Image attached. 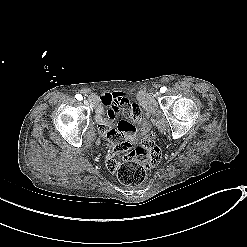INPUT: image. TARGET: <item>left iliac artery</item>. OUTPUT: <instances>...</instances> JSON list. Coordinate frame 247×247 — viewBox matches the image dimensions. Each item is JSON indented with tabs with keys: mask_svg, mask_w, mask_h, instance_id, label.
<instances>
[{
	"mask_svg": "<svg viewBox=\"0 0 247 247\" xmlns=\"http://www.w3.org/2000/svg\"><path fill=\"white\" fill-rule=\"evenodd\" d=\"M166 90H167V88H166L165 86H163V87L160 88V92H161V93H165Z\"/></svg>",
	"mask_w": 247,
	"mask_h": 247,
	"instance_id": "obj_1",
	"label": "left iliac artery"
}]
</instances>
